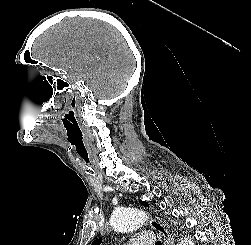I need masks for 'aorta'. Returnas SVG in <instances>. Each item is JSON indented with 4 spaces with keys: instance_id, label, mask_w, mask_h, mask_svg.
Returning <instances> with one entry per match:
<instances>
[{
    "instance_id": "obj_1",
    "label": "aorta",
    "mask_w": 251,
    "mask_h": 245,
    "mask_svg": "<svg viewBox=\"0 0 251 245\" xmlns=\"http://www.w3.org/2000/svg\"><path fill=\"white\" fill-rule=\"evenodd\" d=\"M144 216V212L138 208H122L113 213L110 223L112 228L117 232H132L143 225ZM177 245H194V241L191 237H186Z\"/></svg>"
}]
</instances>
